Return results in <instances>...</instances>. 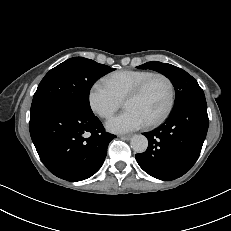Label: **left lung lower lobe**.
<instances>
[{"label": "left lung lower lobe", "mask_w": 231, "mask_h": 231, "mask_svg": "<svg viewBox=\"0 0 231 231\" xmlns=\"http://www.w3.org/2000/svg\"><path fill=\"white\" fill-rule=\"evenodd\" d=\"M209 125L203 91L186 95L160 127L144 135L149 145L136 154L139 166L154 178L174 180L197 161Z\"/></svg>", "instance_id": "0a47b994"}]
</instances>
